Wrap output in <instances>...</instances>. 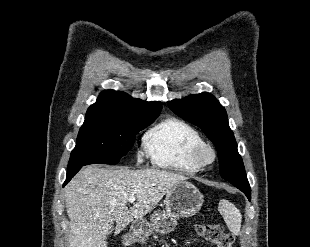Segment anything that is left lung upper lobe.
Returning a JSON list of instances; mask_svg holds the SVG:
<instances>
[{
    "instance_id": "obj_1",
    "label": "left lung upper lobe",
    "mask_w": 310,
    "mask_h": 247,
    "mask_svg": "<svg viewBox=\"0 0 310 247\" xmlns=\"http://www.w3.org/2000/svg\"><path fill=\"white\" fill-rule=\"evenodd\" d=\"M168 107L181 118L200 127L213 142L218 152L222 178L228 181L247 178L226 110L213 95L207 92L190 95L182 100L169 101Z\"/></svg>"
}]
</instances>
